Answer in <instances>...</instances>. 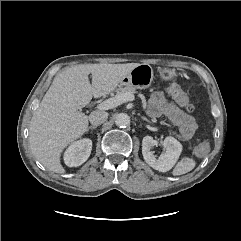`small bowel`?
Masks as SVG:
<instances>
[{"instance_id": "obj_1", "label": "small bowel", "mask_w": 241, "mask_h": 241, "mask_svg": "<svg viewBox=\"0 0 241 241\" xmlns=\"http://www.w3.org/2000/svg\"><path fill=\"white\" fill-rule=\"evenodd\" d=\"M149 112L151 115L167 116L178 128L184 139H191L197 129L194 118L184 113L177 103L167 100L163 92H155L150 98Z\"/></svg>"}]
</instances>
